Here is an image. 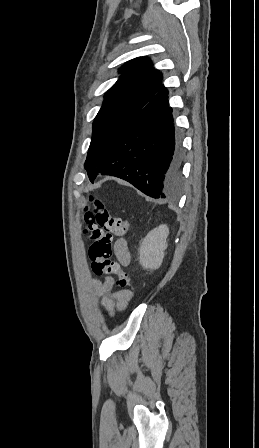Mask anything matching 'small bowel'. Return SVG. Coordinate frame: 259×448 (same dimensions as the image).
<instances>
[{
  "label": "small bowel",
  "mask_w": 259,
  "mask_h": 448,
  "mask_svg": "<svg viewBox=\"0 0 259 448\" xmlns=\"http://www.w3.org/2000/svg\"><path fill=\"white\" fill-rule=\"evenodd\" d=\"M113 251L117 262L121 266H128L131 261V254L128 243L125 239H118L113 245ZM114 284V279L107 276L104 281L94 279L92 281L93 289L99 298L100 304L112 317L118 311H122L130 301L132 294L129 291H118L110 293Z\"/></svg>",
  "instance_id": "obj_1"
}]
</instances>
